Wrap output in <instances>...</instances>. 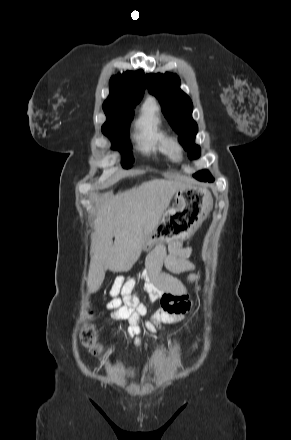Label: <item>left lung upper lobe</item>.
<instances>
[{
  "label": "left lung upper lobe",
  "mask_w": 291,
  "mask_h": 440,
  "mask_svg": "<svg viewBox=\"0 0 291 440\" xmlns=\"http://www.w3.org/2000/svg\"><path fill=\"white\" fill-rule=\"evenodd\" d=\"M149 93L153 94L162 105L164 116L175 132L179 134L181 145L189 153V158L200 156V147L194 143L198 131L192 119L193 104L191 99L180 89V79L176 74H147L145 77ZM200 181L211 178L209 171L202 170L194 174Z\"/></svg>",
  "instance_id": "left-lung-upper-lobe-1"
}]
</instances>
